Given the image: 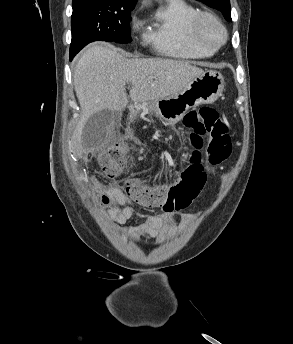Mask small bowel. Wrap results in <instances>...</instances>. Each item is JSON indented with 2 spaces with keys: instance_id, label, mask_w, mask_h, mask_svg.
Here are the masks:
<instances>
[{
  "instance_id": "obj_1",
  "label": "small bowel",
  "mask_w": 293,
  "mask_h": 344,
  "mask_svg": "<svg viewBox=\"0 0 293 344\" xmlns=\"http://www.w3.org/2000/svg\"><path fill=\"white\" fill-rule=\"evenodd\" d=\"M194 173L196 181L205 184L207 172L202 164L194 166ZM104 192L111 200L110 207L105 216L107 224L112 229L119 231L123 236L134 240L145 238L155 240L157 243H163L176 234L178 219L182 225H186L192 220L191 215L187 213H175L164 210L154 214H144V222L138 225L122 227L121 224L126 223L133 215L137 214L130 197L118 185L106 187Z\"/></svg>"
}]
</instances>
